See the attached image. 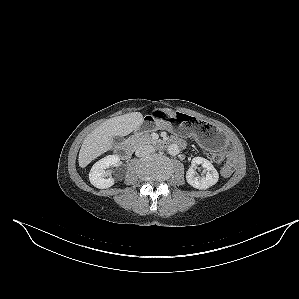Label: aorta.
<instances>
[{
  "label": "aorta",
  "instance_id": "1",
  "mask_svg": "<svg viewBox=\"0 0 299 299\" xmlns=\"http://www.w3.org/2000/svg\"><path fill=\"white\" fill-rule=\"evenodd\" d=\"M167 151L170 155L175 156V155L179 154L180 148L177 144H171L168 146Z\"/></svg>",
  "mask_w": 299,
  "mask_h": 299
}]
</instances>
